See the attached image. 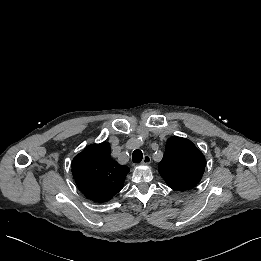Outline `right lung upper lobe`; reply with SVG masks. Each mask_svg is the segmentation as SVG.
Masks as SVG:
<instances>
[{"instance_id": "cb5924a9", "label": "right lung upper lobe", "mask_w": 261, "mask_h": 261, "mask_svg": "<svg viewBox=\"0 0 261 261\" xmlns=\"http://www.w3.org/2000/svg\"><path fill=\"white\" fill-rule=\"evenodd\" d=\"M107 142L92 144L72 162V174L79 190L90 200L106 202L123 188L127 166L111 158Z\"/></svg>"}]
</instances>
